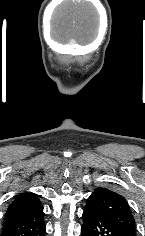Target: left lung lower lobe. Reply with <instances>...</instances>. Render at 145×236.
Listing matches in <instances>:
<instances>
[{"label": "left lung lower lobe", "instance_id": "0a47b994", "mask_svg": "<svg viewBox=\"0 0 145 236\" xmlns=\"http://www.w3.org/2000/svg\"><path fill=\"white\" fill-rule=\"evenodd\" d=\"M82 218V236H128L124 230L91 210L85 209Z\"/></svg>", "mask_w": 145, "mask_h": 236}]
</instances>
